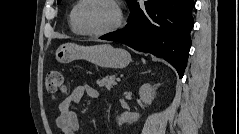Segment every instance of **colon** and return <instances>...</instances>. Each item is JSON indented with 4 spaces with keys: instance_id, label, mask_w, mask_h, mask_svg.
<instances>
[{
    "instance_id": "5ec220e1",
    "label": "colon",
    "mask_w": 239,
    "mask_h": 134,
    "mask_svg": "<svg viewBox=\"0 0 239 134\" xmlns=\"http://www.w3.org/2000/svg\"><path fill=\"white\" fill-rule=\"evenodd\" d=\"M45 88L54 98L62 94L65 90L63 75L59 71L49 72L46 77Z\"/></svg>"
}]
</instances>
